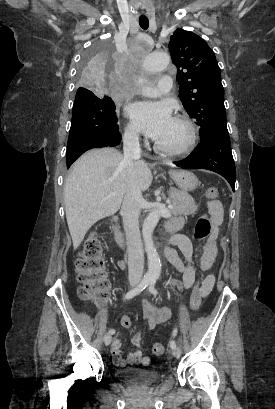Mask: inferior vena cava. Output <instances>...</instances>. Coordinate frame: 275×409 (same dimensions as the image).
<instances>
[{
	"mask_svg": "<svg viewBox=\"0 0 275 409\" xmlns=\"http://www.w3.org/2000/svg\"><path fill=\"white\" fill-rule=\"evenodd\" d=\"M123 162L127 172V192L123 198V217L127 247L128 273L131 281H141L144 269V255L139 231L140 205L143 200L140 186L133 170L134 158H140L139 132L126 130L123 136Z\"/></svg>",
	"mask_w": 275,
	"mask_h": 409,
	"instance_id": "obj_1",
	"label": "inferior vena cava"
}]
</instances>
